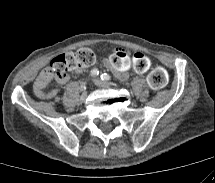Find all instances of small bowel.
<instances>
[{
    "label": "small bowel",
    "mask_w": 215,
    "mask_h": 183,
    "mask_svg": "<svg viewBox=\"0 0 215 183\" xmlns=\"http://www.w3.org/2000/svg\"><path fill=\"white\" fill-rule=\"evenodd\" d=\"M115 65L114 67L110 61ZM104 66L112 69L121 78H126L127 75L130 77H142L149 70V59L145 54L140 51H129L127 52L123 48H117L113 52L112 56L103 60ZM47 68L42 70L37 76L33 84V92L36 97L40 99H53L57 96V89H48V84L52 79L44 80L45 72ZM58 83L65 84L69 81V76L66 75L63 78L56 79Z\"/></svg>",
    "instance_id": "small-bowel-1"
}]
</instances>
